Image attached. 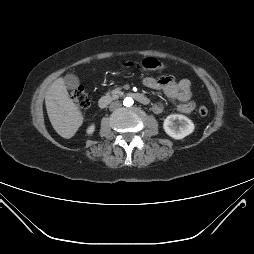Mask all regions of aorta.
Returning <instances> with one entry per match:
<instances>
[{
  "instance_id": "762f6f07",
  "label": "aorta",
  "mask_w": 254,
  "mask_h": 254,
  "mask_svg": "<svg viewBox=\"0 0 254 254\" xmlns=\"http://www.w3.org/2000/svg\"><path fill=\"white\" fill-rule=\"evenodd\" d=\"M133 103H134V100H133L132 97H125L124 100H123L124 106H127V107L132 106Z\"/></svg>"
}]
</instances>
